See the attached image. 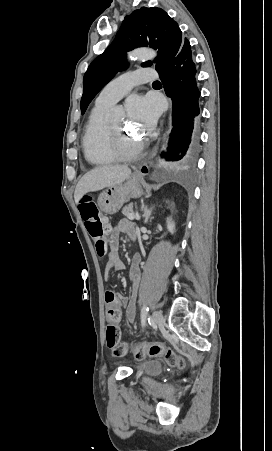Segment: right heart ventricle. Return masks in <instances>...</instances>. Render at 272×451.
Here are the masks:
<instances>
[{
	"mask_svg": "<svg viewBox=\"0 0 272 451\" xmlns=\"http://www.w3.org/2000/svg\"><path fill=\"white\" fill-rule=\"evenodd\" d=\"M113 104L96 103L86 126L84 152L86 159L92 164L109 163L115 155L114 143L106 139L105 132L109 123L104 119L105 112Z\"/></svg>",
	"mask_w": 272,
	"mask_h": 451,
	"instance_id": "obj_1",
	"label": "right heart ventricle"
}]
</instances>
